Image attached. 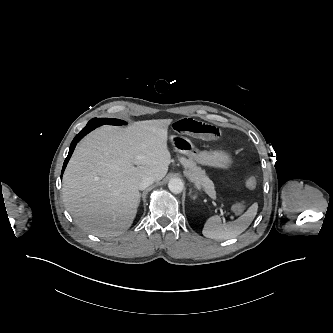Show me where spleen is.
Returning <instances> with one entry per match:
<instances>
[{
    "label": "spleen",
    "mask_w": 333,
    "mask_h": 333,
    "mask_svg": "<svg viewBox=\"0 0 333 333\" xmlns=\"http://www.w3.org/2000/svg\"><path fill=\"white\" fill-rule=\"evenodd\" d=\"M233 209H236L234 206ZM258 204H252L248 210L233 222L222 223L219 216L210 217L202 230V234L214 240H227L243 233L255 218Z\"/></svg>",
    "instance_id": "spleen-1"
}]
</instances>
